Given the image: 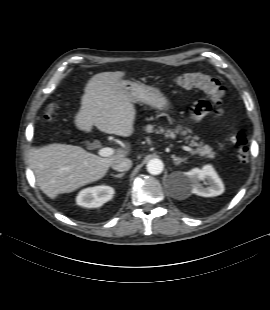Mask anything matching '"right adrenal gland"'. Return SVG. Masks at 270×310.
<instances>
[{
    "instance_id": "1",
    "label": "right adrenal gland",
    "mask_w": 270,
    "mask_h": 310,
    "mask_svg": "<svg viewBox=\"0 0 270 310\" xmlns=\"http://www.w3.org/2000/svg\"><path fill=\"white\" fill-rule=\"evenodd\" d=\"M125 173H120V174H111V176L116 177V178H122Z\"/></svg>"
}]
</instances>
